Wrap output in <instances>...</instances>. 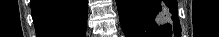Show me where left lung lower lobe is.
<instances>
[{"mask_svg": "<svg viewBox=\"0 0 219 37\" xmlns=\"http://www.w3.org/2000/svg\"><path fill=\"white\" fill-rule=\"evenodd\" d=\"M126 37H178L176 0H116Z\"/></svg>", "mask_w": 219, "mask_h": 37, "instance_id": "0a47b994", "label": "left lung lower lobe"}]
</instances>
